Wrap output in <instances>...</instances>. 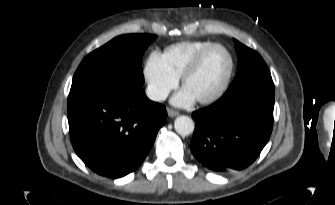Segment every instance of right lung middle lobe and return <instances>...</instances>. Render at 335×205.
Returning a JSON list of instances; mask_svg holds the SVG:
<instances>
[{"instance_id": "obj_1", "label": "right lung middle lobe", "mask_w": 335, "mask_h": 205, "mask_svg": "<svg viewBox=\"0 0 335 205\" xmlns=\"http://www.w3.org/2000/svg\"><path fill=\"white\" fill-rule=\"evenodd\" d=\"M155 39L150 34L121 35L88 54L74 74L69 98L93 91L140 90L142 56Z\"/></svg>"}]
</instances>
